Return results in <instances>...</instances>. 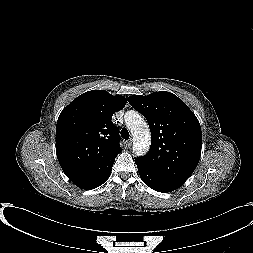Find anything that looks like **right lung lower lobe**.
Masks as SVG:
<instances>
[{
	"label": "right lung lower lobe",
	"instance_id": "98d812e1",
	"mask_svg": "<svg viewBox=\"0 0 253 253\" xmlns=\"http://www.w3.org/2000/svg\"><path fill=\"white\" fill-rule=\"evenodd\" d=\"M110 173H111V171L108 174H106L105 176L101 177L100 179H98V180H96V181H94L92 183L83 185L80 188L81 189H94V188H97L100 185H102L109 178Z\"/></svg>",
	"mask_w": 253,
	"mask_h": 253
}]
</instances>
